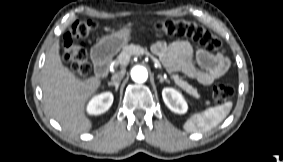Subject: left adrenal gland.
<instances>
[{"label": "left adrenal gland", "instance_id": "obj_1", "mask_svg": "<svg viewBox=\"0 0 283 162\" xmlns=\"http://www.w3.org/2000/svg\"><path fill=\"white\" fill-rule=\"evenodd\" d=\"M158 78L160 79V82H161V83H163L164 81L167 82V83H169V80L166 79V78H163L162 75H160V74L158 75Z\"/></svg>", "mask_w": 283, "mask_h": 162}]
</instances>
